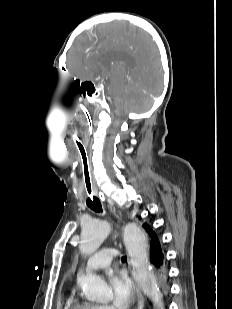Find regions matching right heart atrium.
<instances>
[{"label":"right heart atrium","mask_w":232,"mask_h":309,"mask_svg":"<svg viewBox=\"0 0 232 309\" xmlns=\"http://www.w3.org/2000/svg\"><path fill=\"white\" fill-rule=\"evenodd\" d=\"M97 309H111L108 305H97Z\"/></svg>","instance_id":"obj_1"}]
</instances>
